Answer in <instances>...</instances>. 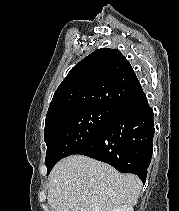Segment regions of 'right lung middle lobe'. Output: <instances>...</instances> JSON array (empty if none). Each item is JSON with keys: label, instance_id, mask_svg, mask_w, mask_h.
<instances>
[{"label": "right lung middle lobe", "instance_id": "1", "mask_svg": "<svg viewBox=\"0 0 179 211\" xmlns=\"http://www.w3.org/2000/svg\"><path fill=\"white\" fill-rule=\"evenodd\" d=\"M113 112V109L108 108H89L45 125L47 174L59 160L94 140L111 119Z\"/></svg>", "mask_w": 179, "mask_h": 211}]
</instances>
